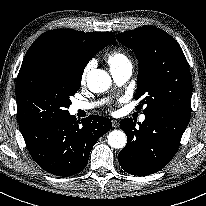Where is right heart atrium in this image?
I'll use <instances>...</instances> for the list:
<instances>
[{
	"instance_id": "1",
	"label": "right heart atrium",
	"mask_w": 206,
	"mask_h": 206,
	"mask_svg": "<svg viewBox=\"0 0 206 206\" xmlns=\"http://www.w3.org/2000/svg\"><path fill=\"white\" fill-rule=\"evenodd\" d=\"M91 67H92V64L89 63V64H87V66L84 68V70H83V72H82V75H81V80H82V81H85V79H86V77H87V74H88V72L90 71Z\"/></svg>"
}]
</instances>
